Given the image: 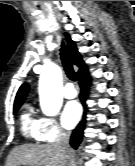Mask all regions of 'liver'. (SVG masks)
Listing matches in <instances>:
<instances>
[{
    "label": "liver",
    "mask_w": 135,
    "mask_h": 166,
    "mask_svg": "<svg viewBox=\"0 0 135 166\" xmlns=\"http://www.w3.org/2000/svg\"><path fill=\"white\" fill-rule=\"evenodd\" d=\"M67 155L54 144H25L15 147L5 166H65Z\"/></svg>",
    "instance_id": "liver-1"
}]
</instances>
